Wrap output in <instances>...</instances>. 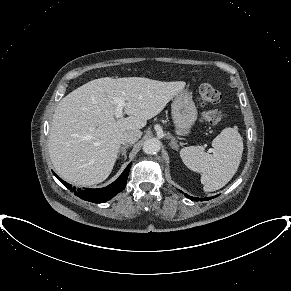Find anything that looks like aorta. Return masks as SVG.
Instances as JSON below:
<instances>
[{"label":"aorta","mask_w":291,"mask_h":291,"mask_svg":"<svg viewBox=\"0 0 291 291\" xmlns=\"http://www.w3.org/2000/svg\"><path fill=\"white\" fill-rule=\"evenodd\" d=\"M161 144L158 139H148L143 144V151L146 154H156L160 151Z\"/></svg>","instance_id":"obj_1"}]
</instances>
